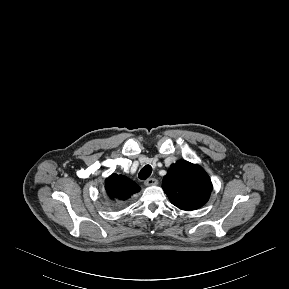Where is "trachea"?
Instances as JSON below:
<instances>
[{
	"mask_svg": "<svg viewBox=\"0 0 289 289\" xmlns=\"http://www.w3.org/2000/svg\"><path fill=\"white\" fill-rule=\"evenodd\" d=\"M152 173V167L150 165L144 166L139 172V178L141 180H146Z\"/></svg>",
	"mask_w": 289,
	"mask_h": 289,
	"instance_id": "3493384b",
	"label": "trachea"
}]
</instances>
